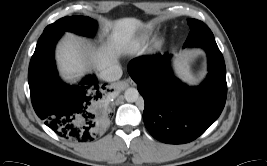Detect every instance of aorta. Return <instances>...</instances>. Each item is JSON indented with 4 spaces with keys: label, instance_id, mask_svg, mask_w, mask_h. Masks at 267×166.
I'll use <instances>...</instances> for the list:
<instances>
[{
    "label": "aorta",
    "instance_id": "762f6f07",
    "mask_svg": "<svg viewBox=\"0 0 267 166\" xmlns=\"http://www.w3.org/2000/svg\"><path fill=\"white\" fill-rule=\"evenodd\" d=\"M127 102H136L139 99V92L136 88H128L124 93Z\"/></svg>",
    "mask_w": 267,
    "mask_h": 166
}]
</instances>
